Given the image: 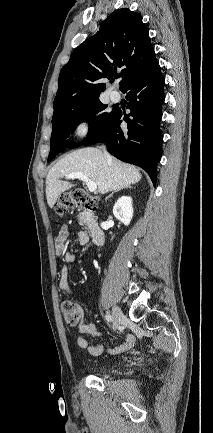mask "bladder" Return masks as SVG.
I'll use <instances>...</instances> for the list:
<instances>
[{
  "instance_id": "1",
  "label": "bladder",
  "mask_w": 213,
  "mask_h": 433,
  "mask_svg": "<svg viewBox=\"0 0 213 433\" xmlns=\"http://www.w3.org/2000/svg\"><path fill=\"white\" fill-rule=\"evenodd\" d=\"M112 361L110 360H90L88 368L92 371H104L111 367Z\"/></svg>"
}]
</instances>
